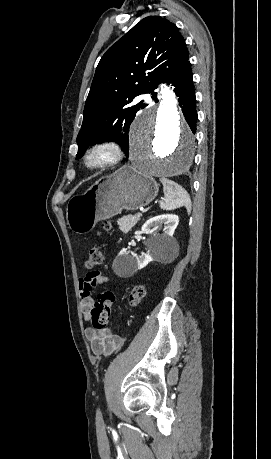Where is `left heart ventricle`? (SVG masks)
Segmentation results:
<instances>
[{
  "mask_svg": "<svg viewBox=\"0 0 271 459\" xmlns=\"http://www.w3.org/2000/svg\"><path fill=\"white\" fill-rule=\"evenodd\" d=\"M106 155V152L105 151H98L97 153H95L94 155V160H100L102 159L103 157H105Z\"/></svg>",
  "mask_w": 271,
  "mask_h": 459,
  "instance_id": "1",
  "label": "left heart ventricle"
}]
</instances>
